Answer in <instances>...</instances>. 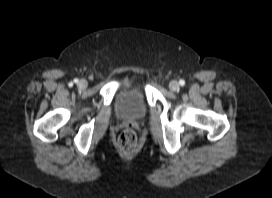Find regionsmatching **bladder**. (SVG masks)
I'll list each match as a JSON object with an SVG mask.
<instances>
[{
	"label": "bladder",
	"mask_w": 272,
	"mask_h": 198,
	"mask_svg": "<svg viewBox=\"0 0 272 198\" xmlns=\"http://www.w3.org/2000/svg\"><path fill=\"white\" fill-rule=\"evenodd\" d=\"M145 92L138 86L123 89L116 98L115 113L119 119L140 121L148 113Z\"/></svg>",
	"instance_id": "31cf9c89"
}]
</instances>
